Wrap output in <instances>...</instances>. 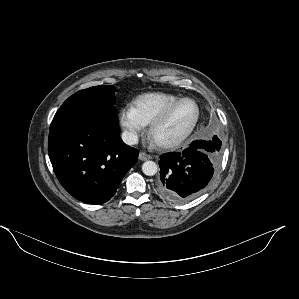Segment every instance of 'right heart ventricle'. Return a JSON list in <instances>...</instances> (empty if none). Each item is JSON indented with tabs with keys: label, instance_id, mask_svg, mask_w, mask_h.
Returning <instances> with one entry per match:
<instances>
[{
	"label": "right heart ventricle",
	"instance_id": "obj_1",
	"mask_svg": "<svg viewBox=\"0 0 299 299\" xmlns=\"http://www.w3.org/2000/svg\"><path fill=\"white\" fill-rule=\"evenodd\" d=\"M179 96L165 92H151L138 96L132 103L136 115L145 124L152 121Z\"/></svg>",
	"mask_w": 299,
	"mask_h": 299
}]
</instances>
